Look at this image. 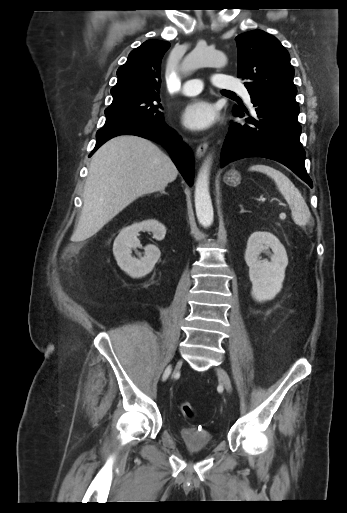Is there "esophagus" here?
<instances>
[{"instance_id": "obj_1", "label": "esophagus", "mask_w": 347, "mask_h": 513, "mask_svg": "<svg viewBox=\"0 0 347 513\" xmlns=\"http://www.w3.org/2000/svg\"><path fill=\"white\" fill-rule=\"evenodd\" d=\"M207 148H208L207 142H203V143L199 144L196 149V157L197 158L203 157L205 152L207 151Z\"/></svg>"}]
</instances>
